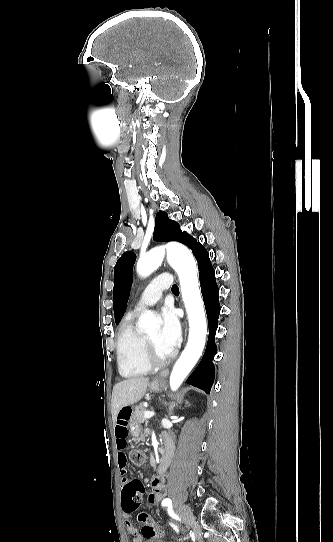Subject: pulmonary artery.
I'll list each match as a JSON object with an SVG mask.
<instances>
[{
	"instance_id": "1",
	"label": "pulmonary artery",
	"mask_w": 333,
	"mask_h": 542,
	"mask_svg": "<svg viewBox=\"0 0 333 542\" xmlns=\"http://www.w3.org/2000/svg\"><path fill=\"white\" fill-rule=\"evenodd\" d=\"M154 279L155 280L151 283L152 285L149 289L146 288L140 294L133 313L139 314L146 308L152 307L158 303L163 296V291H160V288L162 290H167L174 286V281L171 279V273L169 271H164L162 274H156Z\"/></svg>"
}]
</instances>
